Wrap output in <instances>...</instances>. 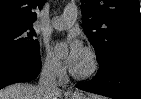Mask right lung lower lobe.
I'll list each match as a JSON object with an SVG mask.
<instances>
[{"instance_id":"right-lung-lower-lobe-1","label":"right lung lower lobe","mask_w":141,"mask_h":99,"mask_svg":"<svg viewBox=\"0 0 141 99\" xmlns=\"http://www.w3.org/2000/svg\"><path fill=\"white\" fill-rule=\"evenodd\" d=\"M41 69L38 54H4L0 55V89L36 78Z\"/></svg>"}]
</instances>
